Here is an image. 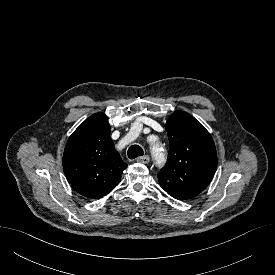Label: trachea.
<instances>
[{
	"label": "trachea",
	"instance_id": "obj_1",
	"mask_svg": "<svg viewBox=\"0 0 275 275\" xmlns=\"http://www.w3.org/2000/svg\"><path fill=\"white\" fill-rule=\"evenodd\" d=\"M128 157L129 159H134L137 158L139 156L143 155V149L138 146V145H132L129 149H128Z\"/></svg>",
	"mask_w": 275,
	"mask_h": 275
}]
</instances>
